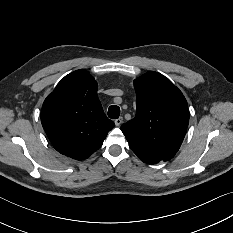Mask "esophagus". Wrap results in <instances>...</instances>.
<instances>
[{
  "mask_svg": "<svg viewBox=\"0 0 233 233\" xmlns=\"http://www.w3.org/2000/svg\"><path fill=\"white\" fill-rule=\"evenodd\" d=\"M123 121V117H119L118 119L115 120V125L116 126H120V124L122 123Z\"/></svg>",
  "mask_w": 233,
  "mask_h": 233,
  "instance_id": "34e87169",
  "label": "esophagus"
}]
</instances>
